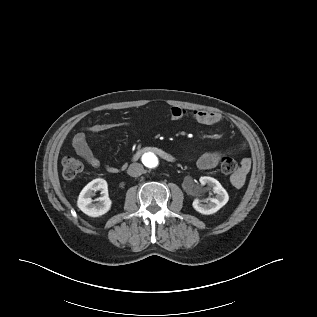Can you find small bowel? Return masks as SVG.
Here are the masks:
<instances>
[{
  "mask_svg": "<svg viewBox=\"0 0 317 317\" xmlns=\"http://www.w3.org/2000/svg\"><path fill=\"white\" fill-rule=\"evenodd\" d=\"M187 115V111L178 106H172L169 108V116L172 120H179ZM193 118L202 125H217L222 122V116L218 112L206 111V110H195L192 112ZM114 126L130 127L128 122H120L113 124ZM111 125L108 124H94L84 128L82 131L77 133L73 140L72 145L75 152L82 157L88 165L92 168H99L101 163L98 157L92 152L87 143V133L99 134L109 128ZM246 148V145L242 142L238 145L236 151L241 152ZM224 152L222 151H211L201 155L197 160V166L202 170H208L214 168L220 162ZM105 168L110 173H116L119 171L118 168L105 165ZM250 169V160L245 158L242 160L241 171L232 177L231 182L235 187H241L244 184L246 174Z\"/></svg>",
  "mask_w": 317,
  "mask_h": 317,
  "instance_id": "obj_1",
  "label": "small bowel"
}]
</instances>
